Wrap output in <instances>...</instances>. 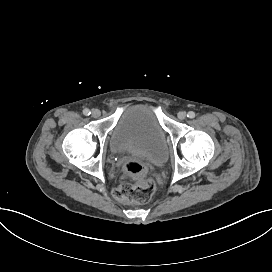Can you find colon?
<instances>
[{
  "label": "colon",
  "mask_w": 272,
  "mask_h": 272,
  "mask_svg": "<svg viewBox=\"0 0 272 272\" xmlns=\"http://www.w3.org/2000/svg\"><path fill=\"white\" fill-rule=\"evenodd\" d=\"M146 171V164L140 160H130L123 164L121 185L114 190L119 203L126 204L131 200L145 203L151 198L157 189V181L154 178L146 179Z\"/></svg>",
  "instance_id": "1"
}]
</instances>
